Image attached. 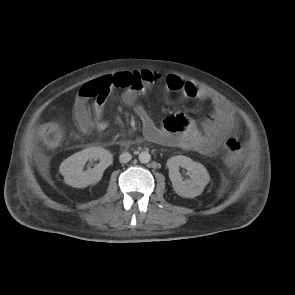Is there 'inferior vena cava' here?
Masks as SVG:
<instances>
[{
  "label": "inferior vena cava",
  "mask_w": 295,
  "mask_h": 295,
  "mask_svg": "<svg viewBox=\"0 0 295 295\" xmlns=\"http://www.w3.org/2000/svg\"><path fill=\"white\" fill-rule=\"evenodd\" d=\"M132 159V156L130 153L128 152H123L120 156H119V161L121 163H127Z\"/></svg>",
  "instance_id": "1"
}]
</instances>
